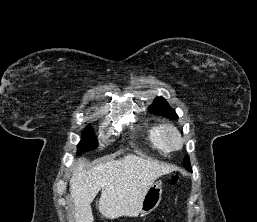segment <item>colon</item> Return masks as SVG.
Instances as JSON below:
<instances>
[{"mask_svg": "<svg viewBox=\"0 0 257 222\" xmlns=\"http://www.w3.org/2000/svg\"><path fill=\"white\" fill-rule=\"evenodd\" d=\"M178 182V175H173L171 178H170V184L171 185H176ZM154 222H166V220L164 218H157L154 220Z\"/></svg>", "mask_w": 257, "mask_h": 222, "instance_id": "5ec220e1", "label": "colon"}]
</instances>
